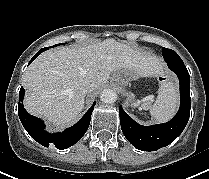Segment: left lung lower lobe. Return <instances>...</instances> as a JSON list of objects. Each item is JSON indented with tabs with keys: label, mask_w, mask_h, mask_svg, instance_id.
<instances>
[{
	"label": "left lung lower lobe",
	"mask_w": 209,
	"mask_h": 179,
	"mask_svg": "<svg viewBox=\"0 0 209 179\" xmlns=\"http://www.w3.org/2000/svg\"><path fill=\"white\" fill-rule=\"evenodd\" d=\"M180 82V108L167 123L142 126L135 122L120 106V124L127 140L142 151H156L172 143L184 130L190 116V75L183 61H166Z\"/></svg>",
	"instance_id": "1"
}]
</instances>
